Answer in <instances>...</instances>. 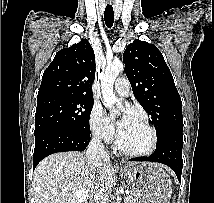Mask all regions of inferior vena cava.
<instances>
[{
    "mask_svg": "<svg viewBox=\"0 0 214 203\" xmlns=\"http://www.w3.org/2000/svg\"><path fill=\"white\" fill-rule=\"evenodd\" d=\"M86 155L93 162L97 163L102 160H109V154L105 150L99 135H94L88 145ZM92 203H108L107 192L101 190L99 194L93 199Z\"/></svg>",
    "mask_w": 214,
    "mask_h": 203,
    "instance_id": "obj_1",
    "label": "inferior vena cava"
}]
</instances>
